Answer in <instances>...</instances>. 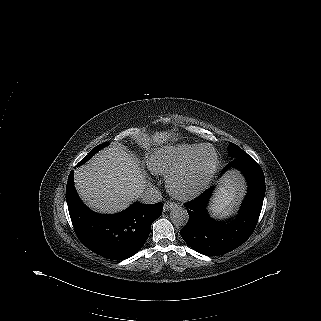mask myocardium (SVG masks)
Returning a JSON list of instances; mask_svg holds the SVG:
<instances>
[{
	"instance_id": "myocardium-1",
	"label": "myocardium",
	"mask_w": 321,
	"mask_h": 321,
	"mask_svg": "<svg viewBox=\"0 0 321 321\" xmlns=\"http://www.w3.org/2000/svg\"><path fill=\"white\" fill-rule=\"evenodd\" d=\"M205 148L211 149L214 156V162L207 177L205 178V180L202 182L201 185H199L198 187L192 190H189L186 192L177 190L175 186L176 181L179 178L185 176L186 174L192 171L198 154L200 153L201 150ZM217 168H218V155L215 148L211 144H201L196 148L193 154L188 158V160L182 166H180L179 168L175 169L170 174H168L167 180H166L167 189L174 197L178 199H182V200L192 199L196 197L198 194H200L209 185V183L212 181V179L214 178L217 172Z\"/></svg>"
}]
</instances>
